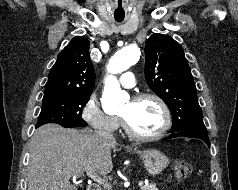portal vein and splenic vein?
Here are the masks:
<instances>
[{
	"mask_svg": "<svg viewBox=\"0 0 238 190\" xmlns=\"http://www.w3.org/2000/svg\"><path fill=\"white\" fill-rule=\"evenodd\" d=\"M86 174L88 177H90L91 179L97 181L98 183L104 185L105 187H110L109 183L105 180V179H102L94 170H87L86 171ZM140 187H142L144 185L143 182H139L138 184Z\"/></svg>",
	"mask_w": 238,
	"mask_h": 190,
	"instance_id": "portal-vein-and-splenic-vein-1",
	"label": "portal vein and splenic vein"
}]
</instances>
